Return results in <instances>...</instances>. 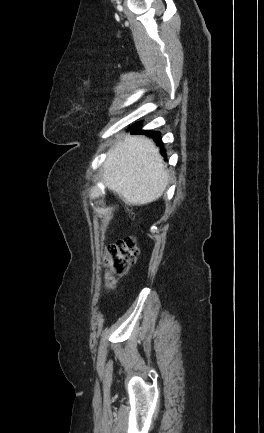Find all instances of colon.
Wrapping results in <instances>:
<instances>
[{"mask_svg": "<svg viewBox=\"0 0 264 433\" xmlns=\"http://www.w3.org/2000/svg\"><path fill=\"white\" fill-rule=\"evenodd\" d=\"M139 254L137 241L134 236H128L107 247L105 265L113 276L108 279L110 287H114V276L124 275L136 262Z\"/></svg>", "mask_w": 264, "mask_h": 433, "instance_id": "5ec220e1", "label": "colon"}]
</instances>
